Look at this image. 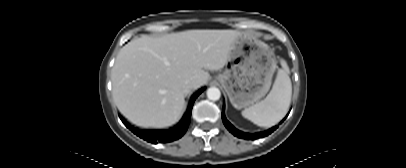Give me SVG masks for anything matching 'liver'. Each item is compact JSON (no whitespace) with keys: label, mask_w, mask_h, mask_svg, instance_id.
Listing matches in <instances>:
<instances>
[{"label":"liver","mask_w":406,"mask_h":168,"mask_svg":"<svg viewBox=\"0 0 406 168\" xmlns=\"http://www.w3.org/2000/svg\"><path fill=\"white\" fill-rule=\"evenodd\" d=\"M237 30H187L162 37L143 35L126 44L112 69V93L119 111L141 127L175 124L185 108L184 84L207 83V70L223 68Z\"/></svg>","instance_id":"6515ba94"}]
</instances>
